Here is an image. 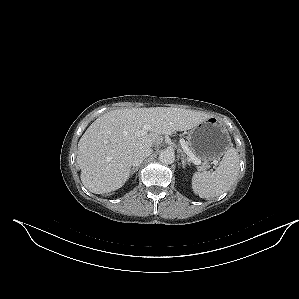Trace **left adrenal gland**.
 <instances>
[{"label":"left adrenal gland","mask_w":299,"mask_h":299,"mask_svg":"<svg viewBox=\"0 0 299 299\" xmlns=\"http://www.w3.org/2000/svg\"><path fill=\"white\" fill-rule=\"evenodd\" d=\"M181 162H182V168L185 169L186 165H190V163L188 162V160L185 158V155L182 153L181 154Z\"/></svg>","instance_id":"a2214340"}]
</instances>
